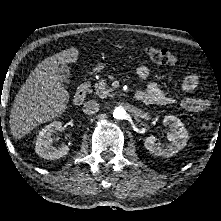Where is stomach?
Returning a JSON list of instances; mask_svg holds the SVG:
<instances>
[{
  "mask_svg": "<svg viewBox=\"0 0 221 221\" xmlns=\"http://www.w3.org/2000/svg\"><path fill=\"white\" fill-rule=\"evenodd\" d=\"M103 69H104V65L100 64L94 69V72H100Z\"/></svg>",
  "mask_w": 221,
  "mask_h": 221,
  "instance_id": "obj_1",
  "label": "stomach"
}]
</instances>
